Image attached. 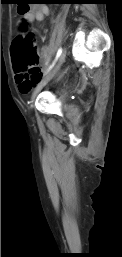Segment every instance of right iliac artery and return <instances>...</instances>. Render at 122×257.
Returning <instances> with one entry per match:
<instances>
[{
    "label": "right iliac artery",
    "instance_id": "right-iliac-artery-1",
    "mask_svg": "<svg viewBox=\"0 0 122 257\" xmlns=\"http://www.w3.org/2000/svg\"><path fill=\"white\" fill-rule=\"evenodd\" d=\"M61 53H62V49L60 48V49L58 50V52H57L55 61H57V59L60 57Z\"/></svg>",
    "mask_w": 122,
    "mask_h": 257
}]
</instances>
